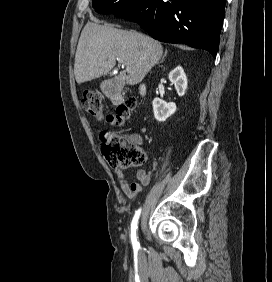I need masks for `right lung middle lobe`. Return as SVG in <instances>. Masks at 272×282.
<instances>
[{
  "label": "right lung middle lobe",
  "instance_id": "obj_1",
  "mask_svg": "<svg viewBox=\"0 0 272 282\" xmlns=\"http://www.w3.org/2000/svg\"><path fill=\"white\" fill-rule=\"evenodd\" d=\"M139 0H92V6L101 14L115 13Z\"/></svg>",
  "mask_w": 272,
  "mask_h": 282
}]
</instances>
